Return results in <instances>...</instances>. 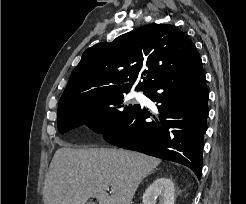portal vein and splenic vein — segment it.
Wrapping results in <instances>:
<instances>
[{
	"label": "portal vein and splenic vein",
	"mask_w": 246,
	"mask_h": 204,
	"mask_svg": "<svg viewBox=\"0 0 246 204\" xmlns=\"http://www.w3.org/2000/svg\"><path fill=\"white\" fill-rule=\"evenodd\" d=\"M104 188H105L106 190H109V186H107V185H106V186H104Z\"/></svg>",
	"instance_id": "1"
}]
</instances>
